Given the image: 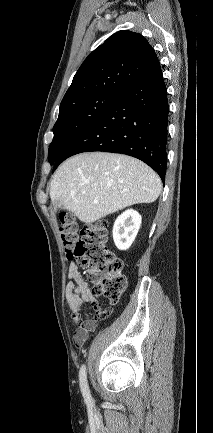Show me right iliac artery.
<instances>
[{
    "label": "right iliac artery",
    "mask_w": 213,
    "mask_h": 433,
    "mask_svg": "<svg viewBox=\"0 0 213 433\" xmlns=\"http://www.w3.org/2000/svg\"><path fill=\"white\" fill-rule=\"evenodd\" d=\"M79 380H80V387L83 394V397L88 405L92 404V399L89 391V387L87 384V374H86V367L85 365H82L79 372Z\"/></svg>",
    "instance_id": "obj_1"
}]
</instances>
